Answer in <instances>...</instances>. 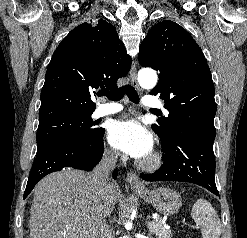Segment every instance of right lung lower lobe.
Instances as JSON below:
<instances>
[{
    "label": "right lung lower lobe",
    "instance_id": "98d812e1",
    "mask_svg": "<svg viewBox=\"0 0 247 238\" xmlns=\"http://www.w3.org/2000/svg\"><path fill=\"white\" fill-rule=\"evenodd\" d=\"M104 129L89 142L78 140L63 141L43 148L37 152V156L30 172L24 199L32 191L36 183L51 172L60 171L70 167L90 171L102 159ZM117 171L113 173L116 179Z\"/></svg>",
    "mask_w": 247,
    "mask_h": 238
}]
</instances>
